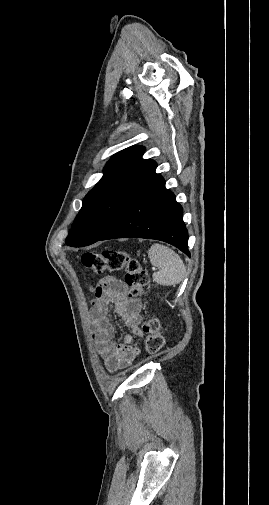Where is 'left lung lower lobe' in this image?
<instances>
[{"label": "left lung lower lobe", "instance_id": "obj_1", "mask_svg": "<svg viewBox=\"0 0 269 505\" xmlns=\"http://www.w3.org/2000/svg\"><path fill=\"white\" fill-rule=\"evenodd\" d=\"M156 167V162L150 160L132 197L99 240L125 237L156 239L190 256L182 207L176 202L174 194L165 188L162 176L155 173Z\"/></svg>", "mask_w": 269, "mask_h": 505}]
</instances>
